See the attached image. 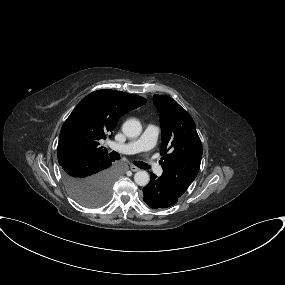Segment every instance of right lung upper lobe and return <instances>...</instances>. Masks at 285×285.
Returning <instances> with one entry per match:
<instances>
[{
  "instance_id": "right-lung-upper-lobe-1",
  "label": "right lung upper lobe",
  "mask_w": 285,
  "mask_h": 285,
  "mask_svg": "<svg viewBox=\"0 0 285 285\" xmlns=\"http://www.w3.org/2000/svg\"><path fill=\"white\" fill-rule=\"evenodd\" d=\"M146 99L114 90H98L83 98L63 124L57 157L60 165L91 155H107L99 140L111 133L118 119Z\"/></svg>"
}]
</instances>
